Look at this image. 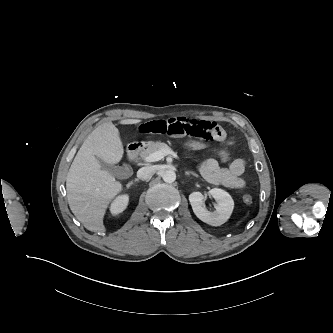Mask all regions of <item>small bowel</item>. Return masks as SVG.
Segmentation results:
<instances>
[{"label":"small bowel","instance_id":"obj_1","mask_svg":"<svg viewBox=\"0 0 333 333\" xmlns=\"http://www.w3.org/2000/svg\"><path fill=\"white\" fill-rule=\"evenodd\" d=\"M136 132L145 135L164 134L172 138L190 137L221 144L228 143L226 132L216 122L185 117L151 120L138 125ZM199 170L202 176L211 184L232 189H242L245 186L243 178L245 164L240 158L233 159L228 167H221L217 160L209 158L200 164Z\"/></svg>","mask_w":333,"mask_h":333}]
</instances>
